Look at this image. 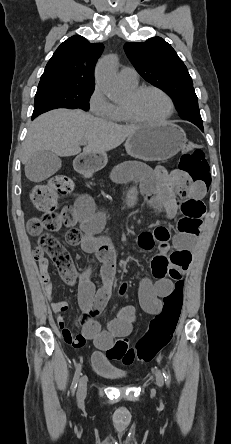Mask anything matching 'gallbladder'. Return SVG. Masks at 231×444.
<instances>
[{
    "mask_svg": "<svg viewBox=\"0 0 231 444\" xmlns=\"http://www.w3.org/2000/svg\"><path fill=\"white\" fill-rule=\"evenodd\" d=\"M61 167V160L51 151H37L25 164L26 177L33 182H40L56 173Z\"/></svg>",
    "mask_w": 231,
    "mask_h": 444,
    "instance_id": "obj_1",
    "label": "gallbladder"
}]
</instances>
